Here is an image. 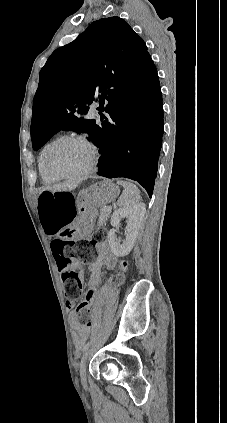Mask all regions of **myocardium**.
<instances>
[{
	"label": "myocardium",
	"mask_w": 227,
	"mask_h": 423,
	"mask_svg": "<svg viewBox=\"0 0 227 423\" xmlns=\"http://www.w3.org/2000/svg\"><path fill=\"white\" fill-rule=\"evenodd\" d=\"M71 142H80L87 147L90 148L92 151V161L90 165L82 172L77 174H70L66 173L59 168H57L53 162L52 157L53 155L64 145L71 143ZM99 162V150L98 148L85 136L83 135H77V134H71L66 135L61 138H59L57 141H55L50 147L46 150L44 155V165L46 170L53 176L59 178V179H65L69 181H78L86 178L90 174L94 173L96 170V167Z\"/></svg>",
	"instance_id": "f54148a6"
}]
</instances>
